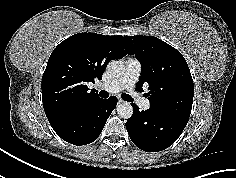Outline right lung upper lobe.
Listing matches in <instances>:
<instances>
[{
    "label": "right lung upper lobe",
    "mask_w": 236,
    "mask_h": 178,
    "mask_svg": "<svg viewBox=\"0 0 236 178\" xmlns=\"http://www.w3.org/2000/svg\"><path fill=\"white\" fill-rule=\"evenodd\" d=\"M130 53L122 35L78 33L62 41L42 77V101L50 124L81 113L101 99L86 84L100 80L109 61Z\"/></svg>",
    "instance_id": "cb5924a9"
}]
</instances>
